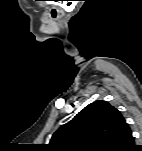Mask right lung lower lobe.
Returning a JSON list of instances; mask_svg holds the SVG:
<instances>
[{
    "label": "right lung lower lobe",
    "mask_w": 142,
    "mask_h": 151,
    "mask_svg": "<svg viewBox=\"0 0 142 151\" xmlns=\"http://www.w3.org/2000/svg\"><path fill=\"white\" fill-rule=\"evenodd\" d=\"M133 146V145H132ZM131 146V147H132ZM133 150H141L142 151V146H133V148H131V150L130 151H133ZM127 151H129V150H127Z\"/></svg>",
    "instance_id": "1"
}]
</instances>
